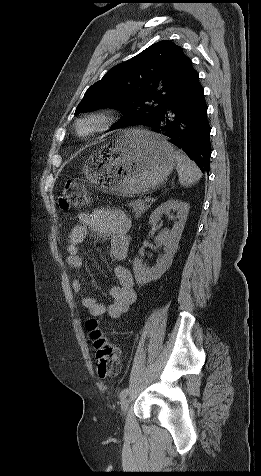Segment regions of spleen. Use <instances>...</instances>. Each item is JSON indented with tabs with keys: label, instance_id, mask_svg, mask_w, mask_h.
Here are the masks:
<instances>
[{
	"label": "spleen",
	"instance_id": "3e777b00",
	"mask_svg": "<svg viewBox=\"0 0 261 476\" xmlns=\"http://www.w3.org/2000/svg\"><path fill=\"white\" fill-rule=\"evenodd\" d=\"M174 157L177 163L176 170L181 185L189 186L196 183L202 177L201 170L186 154L181 151H175Z\"/></svg>",
	"mask_w": 261,
	"mask_h": 476
}]
</instances>
